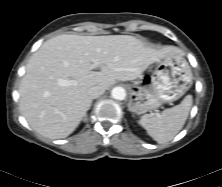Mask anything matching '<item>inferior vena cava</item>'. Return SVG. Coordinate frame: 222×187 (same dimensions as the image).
Segmentation results:
<instances>
[{"mask_svg": "<svg viewBox=\"0 0 222 187\" xmlns=\"http://www.w3.org/2000/svg\"><path fill=\"white\" fill-rule=\"evenodd\" d=\"M105 92V88L102 86H93L88 90V95L91 99H96L100 97Z\"/></svg>", "mask_w": 222, "mask_h": 187, "instance_id": "1", "label": "inferior vena cava"}]
</instances>
